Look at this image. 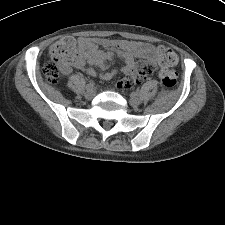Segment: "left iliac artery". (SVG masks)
I'll list each match as a JSON object with an SVG mask.
<instances>
[{"label":"left iliac artery","instance_id":"left-iliac-artery-1","mask_svg":"<svg viewBox=\"0 0 225 225\" xmlns=\"http://www.w3.org/2000/svg\"><path fill=\"white\" fill-rule=\"evenodd\" d=\"M137 94H140V92H139V91H137Z\"/></svg>","mask_w":225,"mask_h":225}]
</instances>
